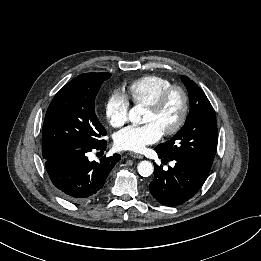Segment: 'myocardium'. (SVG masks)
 <instances>
[{
    "instance_id": "f54148a6",
    "label": "myocardium",
    "mask_w": 261,
    "mask_h": 261,
    "mask_svg": "<svg viewBox=\"0 0 261 261\" xmlns=\"http://www.w3.org/2000/svg\"><path fill=\"white\" fill-rule=\"evenodd\" d=\"M175 93H178L181 96L182 108L180 116L176 123L171 128L163 131V134L166 136H172L178 133L187 120L190 100L186 89L180 85H172L169 88H167L163 93H161V95L152 105L147 106V110H149L153 114H159L165 108L172 95Z\"/></svg>"
}]
</instances>
